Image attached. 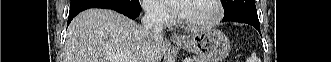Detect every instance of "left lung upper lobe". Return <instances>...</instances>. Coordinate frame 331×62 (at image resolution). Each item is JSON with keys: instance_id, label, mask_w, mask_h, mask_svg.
<instances>
[{"instance_id": "left-lung-upper-lobe-1", "label": "left lung upper lobe", "mask_w": 331, "mask_h": 62, "mask_svg": "<svg viewBox=\"0 0 331 62\" xmlns=\"http://www.w3.org/2000/svg\"><path fill=\"white\" fill-rule=\"evenodd\" d=\"M221 2L226 9L225 17L240 13L257 16L255 0H222Z\"/></svg>"}]
</instances>
